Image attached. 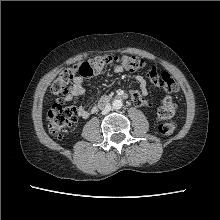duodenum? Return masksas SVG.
I'll return each mask as SVG.
<instances>
[{
    "label": "duodenum",
    "instance_id": "duodenum-1",
    "mask_svg": "<svg viewBox=\"0 0 220 220\" xmlns=\"http://www.w3.org/2000/svg\"><path fill=\"white\" fill-rule=\"evenodd\" d=\"M119 99L121 100L127 99V94L124 92H119L114 95H105L100 99L97 108H103L104 106L109 104L111 101L119 100Z\"/></svg>",
    "mask_w": 220,
    "mask_h": 220
}]
</instances>
